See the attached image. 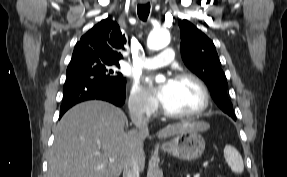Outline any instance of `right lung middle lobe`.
<instances>
[{
    "mask_svg": "<svg viewBox=\"0 0 287 177\" xmlns=\"http://www.w3.org/2000/svg\"><path fill=\"white\" fill-rule=\"evenodd\" d=\"M115 66L119 68L118 64L113 63L111 61H105L99 59L81 60L69 63L66 75L67 78L80 75H91L106 81H112V82L125 81L122 74L117 71Z\"/></svg>",
    "mask_w": 287,
    "mask_h": 177,
    "instance_id": "obj_1",
    "label": "right lung middle lobe"
}]
</instances>
